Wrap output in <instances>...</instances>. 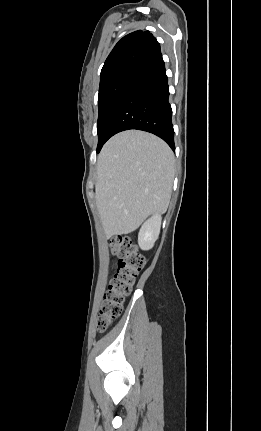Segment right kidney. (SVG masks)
<instances>
[{
  "instance_id": "1",
  "label": "right kidney",
  "mask_w": 261,
  "mask_h": 431,
  "mask_svg": "<svg viewBox=\"0 0 261 431\" xmlns=\"http://www.w3.org/2000/svg\"><path fill=\"white\" fill-rule=\"evenodd\" d=\"M161 215L155 214L142 225L138 234V244L142 250H149L158 239L161 228Z\"/></svg>"
}]
</instances>
